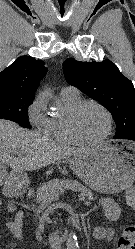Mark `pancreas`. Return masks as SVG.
Returning a JSON list of instances; mask_svg holds the SVG:
<instances>
[{"label":"pancreas","mask_w":135,"mask_h":249,"mask_svg":"<svg viewBox=\"0 0 135 249\" xmlns=\"http://www.w3.org/2000/svg\"><path fill=\"white\" fill-rule=\"evenodd\" d=\"M69 186H76V190L81 192L84 197L92 200L93 193L91 190L81 185H74L70 181L56 179L43 184L37 189L35 201L40 203L39 209L42 210L45 208L50 202H52L53 197L57 198L60 191Z\"/></svg>","instance_id":"cf45deb5"}]
</instances>
